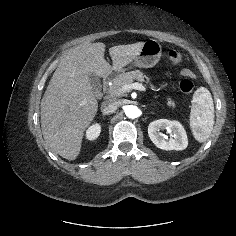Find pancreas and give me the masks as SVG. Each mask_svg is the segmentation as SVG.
Returning a JSON list of instances; mask_svg holds the SVG:
<instances>
[{"instance_id": "1", "label": "pancreas", "mask_w": 236, "mask_h": 236, "mask_svg": "<svg viewBox=\"0 0 236 236\" xmlns=\"http://www.w3.org/2000/svg\"><path fill=\"white\" fill-rule=\"evenodd\" d=\"M133 80H137L140 82H144L146 80V83L150 84V87L153 88L150 82V78L140 70H135L126 73H121L118 76H116L112 85L108 89L109 94L111 96H124L125 92H122L120 90L121 87L125 84H131ZM166 105L171 108L176 107V104L169 97L167 98Z\"/></svg>"}]
</instances>
